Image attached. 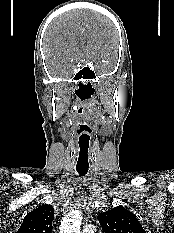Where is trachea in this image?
<instances>
[{
    "label": "trachea",
    "instance_id": "obj_1",
    "mask_svg": "<svg viewBox=\"0 0 174 233\" xmlns=\"http://www.w3.org/2000/svg\"><path fill=\"white\" fill-rule=\"evenodd\" d=\"M76 170L80 176H84L88 172V167H76Z\"/></svg>",
    "mask_w": 174,
    "mask_h": 233
}]
</instances>
